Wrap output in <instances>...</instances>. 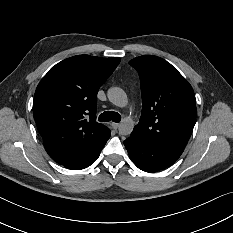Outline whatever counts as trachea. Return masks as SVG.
Returning a JSON list of instances; mask_svg holds the SVG:
<instances>
[{"mask_svg":"<svg viewBox=\"0 0 233 233\" xmlns=\"http://www.w3.org/2000/svg\"><path fill=\"white\" fill-rule=\"evenodd\" d=\"M111 120L113 122H120V120H121L120 114L117 112H114V111H106V112L100 114V116H99V121H101V122H109Z\"/></svg>","mask_w":233,"mask_h":233,"instance_id":"1","label":"trachea"}]
</instances>
